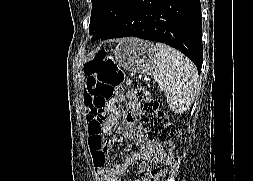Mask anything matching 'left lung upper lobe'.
<instances>
[{"label":"left lung upper lobe","instance_id":"left-lung-upper-lobe-1","mask_svg":"<svg viewBox=\"0 0 253 181\" xmlns=\"http://www.w3.org/2000/svg\"><path fill=\"white\" fill-rule=\"evenodd\" d=\"M131 0H92L89 25L92 39H99L119 19Z\"/></svg>","mask_w":253,"mask_h":181}]
</instances>
